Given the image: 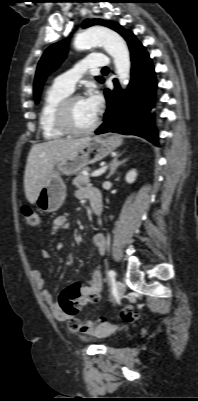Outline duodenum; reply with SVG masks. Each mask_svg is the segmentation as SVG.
I'll list each match as a JSON object with an SVG mask.
<instances>
[{
  "mask_svg": "<svg viewBox=\"0 0 198 401\" xmlns=\"http://www.w3.org/2000/svg\"><path fill=\"white\" fill-rule=\"evenodd\" d=\"M91 207L95 216H100L102 212V199L98 192H93L90 197Z\"/></svg>",
  "mask_w": 198,
  "mask_h": 401,
  "instance_id": "obj_1",
  "label": "duodenum"
}]
</instances>
